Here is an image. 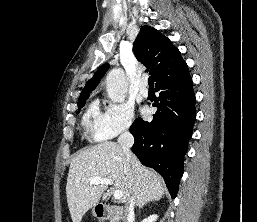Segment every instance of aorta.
<instances>
[{
    "instance_id": "obj_1",
    "label": "aorta",
    "mask_w": 257,
    "mask_h": 222,
    "mask_svg": "<svg viewBox=\"0 0 257 222\" xmlns=\"http://www.w3.org/2000/svg\"><path fill=\"white\" fill-rule=\"evenodd\" d=\"M107 93L111 101L121 103L125 100L128 83L122 69L111 70L106 77Z\"/></svg>"
}]
</instances>
